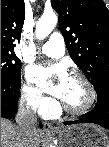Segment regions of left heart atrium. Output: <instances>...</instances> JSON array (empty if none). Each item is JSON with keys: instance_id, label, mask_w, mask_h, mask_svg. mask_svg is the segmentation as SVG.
I'll return each mask as SVG.
<instances>
[{"instance_id": "obj_1", "label": "left heart atrium", "mask_w": 109, "mask_h": 147, "mask_svg": "<svg viewBox=\"0 0 109 147\" xmlns=\"http://www.w3.org/2000/svg\"><path fill=\"white\" fill-rule=\"evenodd\" d=\"M28 78L38 84L44 91L62 98L64 87L69 77L62 65L43 67L33 66L28 70ZM57 78V82L50 83V79Z\"/></svg>"}]
</instances>
